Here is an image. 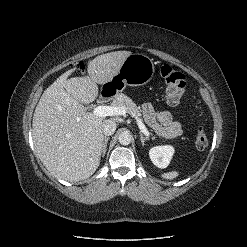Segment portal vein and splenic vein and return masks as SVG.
<instances>
[{
  "instance_id": "obj_1",
  "label": "portal vein and splenic vein",
  "mask_w": 247,
  "mask_h": 247,
  "mask_svg": "<svg viewBox=\"0 0 247 247\" xmlns=\"http://www.w3.org/2000/svg\"><path fill=\"white\" fill-rule=\"evenodd\" d=\"M126 108L124 106H97L94 110H93V114L95 116H99V117H106V116H119V115H124L126 113ZM133 116L136 119V122L138 124V127L140 129V131L149 137L150 133L147 130L146 126L143 124L142 120L136 116L135 114H133Z\"/></svg>"
}]
</instances>
